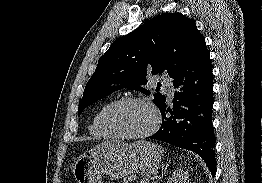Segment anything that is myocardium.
Wrapping results in <instances>:
<instances>
[{
    "label": "myocardium",
    "mask_w": 262,
    "mask_h": 183,
    "mask_svg": "<svg viewBox=\"0 0 262 183\" xmlns=\"http://www.w3.org/2000/svg\"><path fill=\"white\" fill-rule=\"evenodd\" d=\"M129 103H139L146 105L149 107L153 114H154V123L150 129H148L146 132L141 134H122L118 131H116L109 122V116L110 114L117 108L129 104ZM101 123L104 128V130L112 137L118 138V139H126V140H141L150 137L153 135L160 127L161 124V116L160 112L157 109V107L154 105L153 102H151L148 99L141 98V97H124L119 100L111 102L103 111L102 117H101Z\"/></svg>",
    "instance_id": "obj_1"
}]
</instances>
